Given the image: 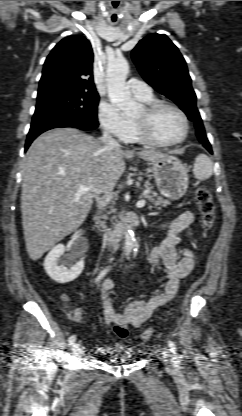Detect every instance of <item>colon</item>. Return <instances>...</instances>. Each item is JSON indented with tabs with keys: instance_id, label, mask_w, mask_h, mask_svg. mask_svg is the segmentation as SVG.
Masks as SVG:
<instances>
[{
	"instance_id": "1",
	"label": "colon",
	"mask_w": 242,
	"mask_h": 416,
	"mask_svg": "<svg viewBox=\"0 0 242 416\" xmlns=\"http://www.w3.org/2000/svg\"><path fill=\"white\" fill-rule=\"evenodd\" d=\"M196 201L198 210L201 216V223L205 229H210L215 220L214 204L210 195V192L205 187H199L196 190ZM115 333L121 338H127L129 336V330L122 324H115ZM154 335L152 328L146 329L142 334L143 340H150Z\"/></svg>"
}]
</instances>
